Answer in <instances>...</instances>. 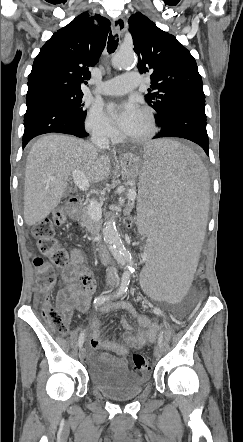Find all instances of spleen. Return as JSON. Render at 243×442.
I'll list each match as a JSON object with an SVG mask.
<instances>
[{
	"mask_svg": "<svg viewBox=\"0 0 243 442\" xmlns=\"http://www.w3.org/2000/svg\"><path fill=\"white\" fill-rule=\"evenodd\" d=\"M137 174L139 235L151 242L138 291H148L152 302L181 307L198 263L197 242L205 235L206 169L191 149L162 139L145 145Z\"/></svg>",
	"mask_w": 243,
	"mask_h": 442,
	"instance_id": "3e777b00",
	"label": "spleen"
}]
</instances>
